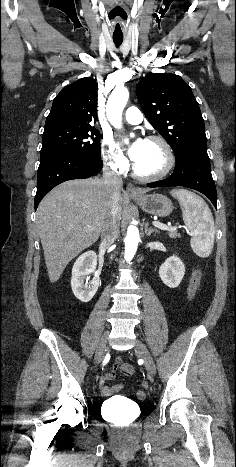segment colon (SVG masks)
<instances>
[{"instance_id":"1","label":"colon","mask_w":236,"mask_h":467,"mask_svg":"<svg viewBox=\"0 0 236 467\" xmlns=\"http://www.w3.org/2000/svg\"><path fill=\"white\" fill-rule=\"evenodd\" d=\"M201 275H202L201 269L199 267L195 268V270L192 273L191 280H190L189 297H192L194 293L196 292L197 288L199 287ZM136 397L138 399H143L145 397V394L142 391H138L136 393Z\"/></svg>"}]
</instances>
